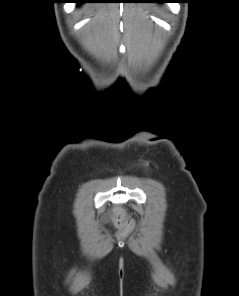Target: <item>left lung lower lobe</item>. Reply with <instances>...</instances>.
I'll return each instance as SVG.
<instances>
[{"mask_svg":"<svg viewBox=\"0 0 239 296\" xmlns=\"http://www.w3.org/2000/svg\"><path fill=\"white\" fill-rule=\"evenodd\" d=\"M153 3H169L172 2V0H153Z\"/></svg>","mask_w":239,"mask_h":296,"instance_id":"1","label":"left lung lower lobe"}]
</instances>
